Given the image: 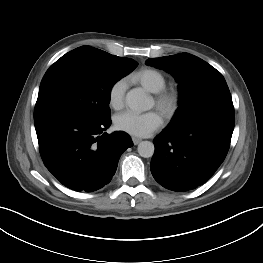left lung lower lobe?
Listing matches in <instances>:
<instances>
[{
  "label": "left lung lower lobe",
  "instance_id": "1",
  "mask_svg": "<svg viewBox=\"0 0 263 263\" xmlns=\"http://www.w3.org/2000/svg\"><path fill=\"white\" fill-rule=\"evenodd\" d=\"M234 111H213L170 123L155 139L154 179L164 188L184 192L204 184L229 150Z\"/></svg>",
  "mask_w": 263,
  "mask_h": 263
}]
</instances>
